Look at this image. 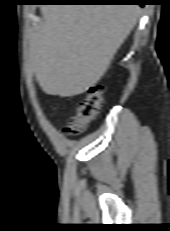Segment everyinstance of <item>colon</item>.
Masks as SVG:
<instances>
[{
  "instance_id": "5ec220e1",
  "label": "colon",
  "mask_w": 170,
  "mask_h": 231,
  "mask_svg": "<svg viewBox=\"0 0 170 231\" xmlns=\"http://www.w3.org/2000/svg\"><path fill=\"white\" fill-rule=\"evenodd\" d=\"M105 87L101 83H96L89 88L84 99L79 103L77 109L68 118L65 133L75 136L84 132L87 127L97 118L104 105Z\"/></svg>"
}]
</instances>
